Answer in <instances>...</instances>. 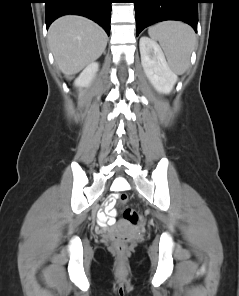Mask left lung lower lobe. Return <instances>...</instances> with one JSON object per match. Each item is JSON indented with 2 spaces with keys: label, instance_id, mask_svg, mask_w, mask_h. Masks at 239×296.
<instances>
[{
  "label": "left lung lower lobe",
  "instance_id": "0a47b994",
  "mask_svg": "<svg viewBox=\"0 0 239 296\" xmlns=\"http://www.w3.org/2000/svg\"><path fill=\"white\" fill-rule=\"evenodd\" d=\"M136 12V35L147 26L164 20H179L197 32L199 0H133Z\"/></svg>",
  "mask_w": 239,
  "mask_h": 296
}]
</instances>
